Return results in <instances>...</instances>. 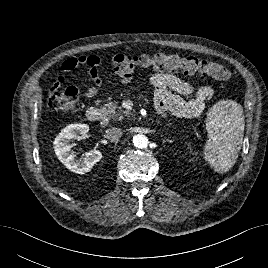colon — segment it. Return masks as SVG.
I'll use <instances>...</instances> for the list:
<instances>
[{"mask_svg":"<svg viewBox=\"0 0 268 268\" xmlns=\"http://www.w3.org/2000/svg\"><path fill=\"white\" fill-rule=\"evenodd\" d=\"M117 66L122 69L144 67L155 70H181L185 75L199 74L222 82H227L232 77L231 72L223 65L192 55L182 56L179 54L158 53L153 56L132 58L122 54L118 59ZM56 87H58V84H56ZM78 97L79 91L77 88L73 86L67 87L60 94H50L47 105L53 110L69 112L74 110Z\"/></svg>","mask_w":268,"mask_h":268,"instance_id":"colon-1","label":"colon"}]
</instances>
